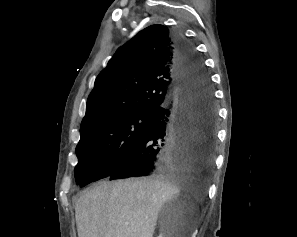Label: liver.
<instances>
[{
  "label": "liver",
  "instance_id": "obj_1",
  "mask_svg": "<svg viewBox=\"0 0 297 237\" xmlns=\"http://www.w3.org/2000/svg\"><path fill=\"white\" fill-rule=\"evenodd\" d=\"M181 189L194 190L190 176L100 182L77 200L78 237H153L162 206Z\"/></svg>",
  "mask_w": 297,
  "mask_h": 237
}]
</instances>
